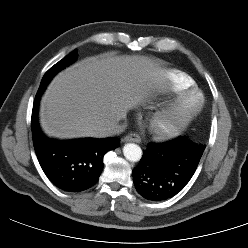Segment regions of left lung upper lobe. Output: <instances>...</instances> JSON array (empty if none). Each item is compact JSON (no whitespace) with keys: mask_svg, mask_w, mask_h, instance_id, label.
Wrapping results in <instances>:
<instances>
[{"mask_svg":"<svg viewBox=\"0 0 248 248\" xmlns=\"http://www.w3.org/2000/svg\"><path fill=\"white\" fill-rule=\"evenodd\" d=\"M199 145L205 148V145H203V144H199Z\"/></svg>","mask_w":248,"mask_h":248,"instance_id":"obj_1","label":"left lung upper lobe"}]
</instances>
